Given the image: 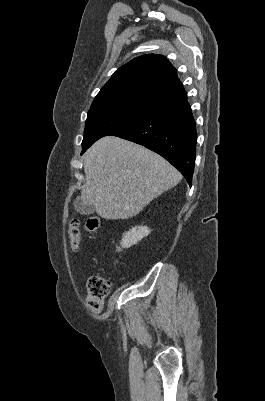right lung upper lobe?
<instances>
[{
	"instance_id": "obj_1",
	"label": "right lung upper lobe",
	"mask_w": 265,
	"mask_h": 401,
	"mask_svg": "<svg viewBox=\"0 0 265 401\" xmlns=\"http://www.w3.org/2000/svg\"><path fill=\"white\" fill-rule=\"evenodd\" d=\"M186 96L176 69L166 57L148 54L120 67L100 90L91 106L144 100L164 105Z\"/></svg>"
}]
</instances>
